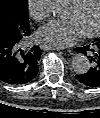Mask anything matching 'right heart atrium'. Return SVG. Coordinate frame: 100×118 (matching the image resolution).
<instances>
[{
    "label": "right heart atrium",
    "mask_w": 100,
    "mask_h": 118,
    "mask_svg": "<svg viewBox=\"0 0 100 118\" xmlns=\"http://www.w3.org/2000/svg\"><path fill=\"white\" fill-rule=\"evenodd\" d=\"M27 6L31 17L38 22L51 15V0H28Z\"/></svg>",
    "instance_id": "1"
}]
</instances>
